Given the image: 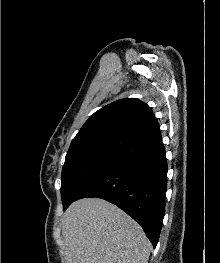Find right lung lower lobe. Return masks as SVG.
I'll return each instance as SVG.
<instances>
[{
    "label": "right lung lower lobe",
    "mask_w": 220,
    "mask_h": 263,
    "mask_svg": "<svg viewBox=\"0 0 220 263\" xmlns=\"http://www.w3.org/2000/svg\"><path fill=\"white\" fill-rule=\"evenodd\" d=\"M167 171L166 152L158 134L121 150L72 202L97 197L117 205L141 225L155 248L165 214Z\"/></svg>",
    "instance_id": "right-lung-lower-lobe-1"
}]
</instances>
